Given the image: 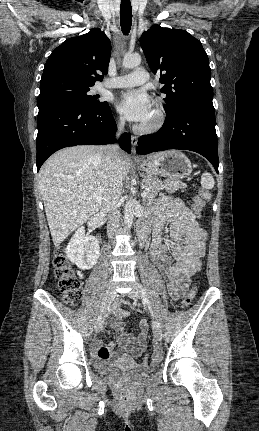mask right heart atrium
Segmentation results:
<instances>
[{"instance_id": "d8ad5b80", "label": "right heart atrium", "mask_w": 259, "mask_h": 431, "mask_svg": "<svg viewBox=\"0 0 259 431\" xmlns=\"http://www.w3.org/2000/svg\"><path fill=\"white\" fill-rule=\"evenodd\" d=\"M117 122H118V124H119V125H122V124L124 123V119H123V117L119 116V117L117 118Z\"/></svg>"}]
</instances>
